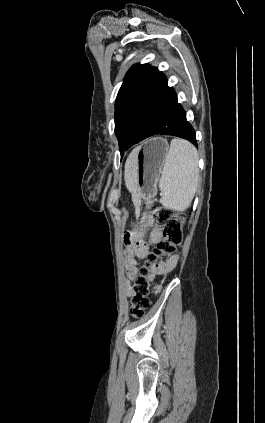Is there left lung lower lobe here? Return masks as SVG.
<instances>
[{
  "label": "left lung lower lobe",
  "mask_w": 265,
  "mask_h": 423,
  "mask_svg": "<svg viewBox=\"0 0 265 423\" xmlns=\"http://www.w3.org/2000/svg\"><path fill=\"white\" fill-rule=\"evenodd\" d=\"M157 134L181 137L197 146L195 131L187 122L174 89L167 85L162 72L151 67L134 98L126 123L122 153L124 149Z\"/></svg>",
  "instance_id": "1"
}]
</instances>
